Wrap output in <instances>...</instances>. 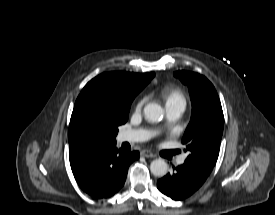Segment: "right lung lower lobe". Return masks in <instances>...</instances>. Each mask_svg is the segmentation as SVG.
<instances>
[{
	"label": "right lung lower lobe",
	"mask_w": 275,
	"mask_h": 215,
	"mask_svg": "<svg viewBox=\"0 0 275 215\" xmlns=\"http://www.w3.org/2000/svg\"><path fill=\"white\" fill-rule=\"evenodd\" d=\"M116 141L82 146L69 153L74 177L87 194L107 198L124 185L129 165L139 152L118 150Z\"/></svg>",
	"instance_id": "right-lung-lower-lobe-1"
}]
</instances>
